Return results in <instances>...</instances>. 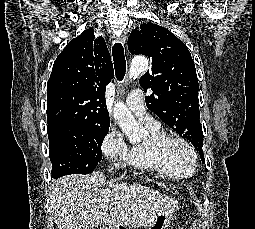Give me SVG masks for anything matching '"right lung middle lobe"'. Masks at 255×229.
Here are the masks:
<instances>
[{
    "mask_svg": "<svg viewBox=\"0 0 255 229\" xmlns=\"http://www.w3.org/2000/svg\"><path fill=\"white\" fill-rule=\"evenodd\" d=\"M110 125L48 126L52 177L89 174L101 161V144Z\"/></svg>",
    "mask_w": 255,
    "mask_h": 229,
    "instance_id": "dd1d6c3e",
    "label": "right lung middle lobe"
}]
</instances>
